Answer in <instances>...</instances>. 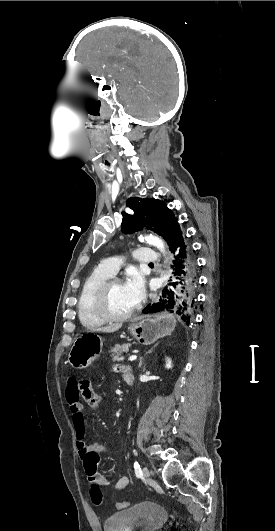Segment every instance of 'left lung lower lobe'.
<instances>
[{
  "label": "left lung lower lobe",
  "mask_w": 275,
  "mask_h": 531,
  "mask_svg": "<svg viewBox=\"0 0 275 531\" xmlns=\"http://www.w3.org/2000/svg\"><path fill=\"white\" fill-rule=\"evenodd\" d=\"M167 243L174 257L173 279L158 302L148 305L143 312L175 313L189 324L196 308V258L178 223L171 230Z\"/></svg>",
  "instance_id": "obj_1"
}]
</instances>
